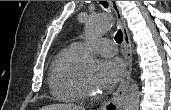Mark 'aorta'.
Masks as SVG:
<instances>
[{"label": "aorta", "instance_id": "762f6f07", "mask_svg": "<svg viewBox=\"0 0 171 110\" xmlns=\"http://www.w3.org/2000/svg\"><path fill=\"white\" fill-rule=\"evenodd\" d=\"M112 26V18L107 14H102L89 17L86 22L85 29L88 36L97 37L109 31ZM82 67L88 72L95 71L97 64L93 55L87 54L84 56ZM139 103V87L136 82L132 81L125 95L122 110H139Z\"/></svg>", "mask_w": 171, "mask_h": 110}]
</instances>
